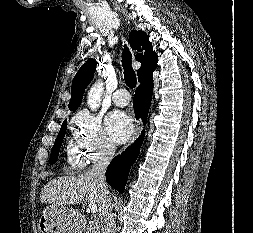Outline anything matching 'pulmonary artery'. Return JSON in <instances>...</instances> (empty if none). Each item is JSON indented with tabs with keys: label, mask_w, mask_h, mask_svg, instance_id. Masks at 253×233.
<instances>
[{
	"label": "pulmonary artery",
	"mask_w": 253,
	"mask_h": 233,
	"mask_svg": "<svg viewBox=\"0 0 253 233\" xmlns=\"http://www.w3.org/2000/svg\"><path fill=\"white\" fill-rule=\"evenodd\" d=\"M112 101L117 106H126L130 102V95L126 89H118L112 96Z\"/></svg>",
	"instance_id": "obj_1"
}]
</instances>
